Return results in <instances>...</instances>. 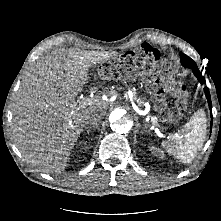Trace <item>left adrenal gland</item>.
<instances>
[{
	"instance_id": "1",
	"label": "left adrenal gland",
	"mask_w": 221,
	"mask_h": 221,
	"mask_svg": "<svg viewBox=\"0 0 221 221\" xmlns=\"http://www.w3.org/2000/svg\"><path fill=\"white\" fill-rule=\"evenodd\" d=\"M145 129H146V126H144L142 130H145Z\"/></svg>"
}]
</instances>
